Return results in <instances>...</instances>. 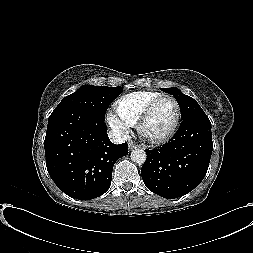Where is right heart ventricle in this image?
I'll return each instance as SVG.
<instances>
[{
  "label": "right heart ventricle",
  "mask_w": 253,
  "mask_h": 253,
  "mask_svg": "<svg viewBox=\"0 0 253 253\" xmlns=\"http://www.w3.org/2000/svg\"><path fill=\"white\" fill-rule=\"evenodd\" d=\"M163 95L154 91H137L122 96L115 103L118 117L129 127H136L145 108L157 97Z\"/></svg>",
  "instance_id": "e07e8e85"
}]
</instances>
